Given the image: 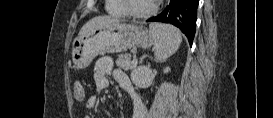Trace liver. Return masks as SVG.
I'll use <instances>...</instances> for the list:
<instances>
[{"label": "liver", "mask_w": 273, "mask_h": 118, "mask_svg": "<svg viewBox=\"0 0 273 118\" xmlns=\"http://www.w3.org/2000/svg\"><path fill=\"white\" fill-rule=\"evenodd\" d=\"M113 22H117V20L112 17H109V16L95 17L83 25V27L81 28V30L79 32V36H81L85 33H88L95 28L102 27V26H105V25L113 23Z\"/></svg>", "instance_id": "liver-1"}]
</instances>
